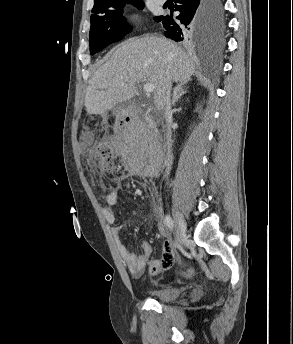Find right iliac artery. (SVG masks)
I'll return each instance as SVG.
<instances>
[{
	"mask_svg": "<svg viewBox=\"0 0 293 344\" xmlns=\"http://www.w3.org/2000/svg\"><path fill=\"white\" fill-rule=\"evenodd\" d=\"M164 222H165V225L167 226V228H168L169 230H173V228H174V223H173L172 218H171L169 215H166V216H165Z\"/></svg>",
	"mask_w": 293,
	"mask_h": 344,
	"instance_id": "1",
	"label": "right iliac artery"
}]
</instances>
